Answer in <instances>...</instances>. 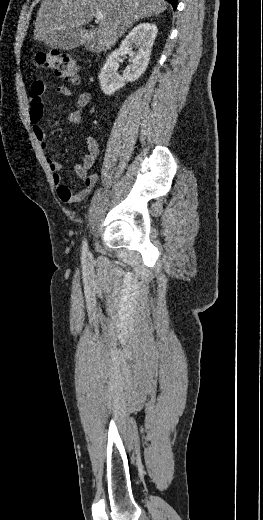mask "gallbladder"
Listing matches in <instances>:
<instances>
[{"instance_id":"obj_1","label":"gallbladder","mask_w":263,"mask_h":520,"mask_svg":"<svg viewBox=\"0 0 263 520\" xmlns=\"http://www.w3.org/2000/svg\"><path fill=\"white\" fill-rule=\"evenodd\" d=\"M84 32L83 28H75L73 32L68 34L57 32L51 36L48 46L62 50L75 49L80 45Z\"/></svg>"}]
</instances>
